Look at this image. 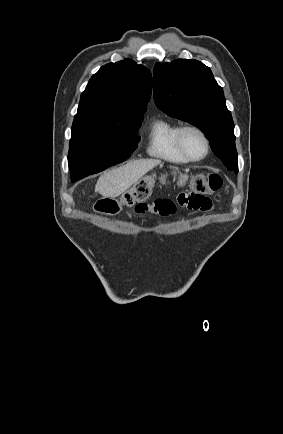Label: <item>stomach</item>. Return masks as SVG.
Returning <instances> with one entry per match:
<instances>
[{"mask_svg": "<svg viewBox=\"0 0 283 434\" xmlns=\"http://www.w3.org/2000/svg\"><path fill=\"white\" fill-rule=\"evenodd\" d=\"M175 172H176V173H175V175H174V176H175L174 178H176V177H177V175L179 174V172H178V171H176V170H175Z\"/></svg>", "mask_w": 283, "mask_h": 434, "instance_id": "obj_1", "label": "stomach"}]
</instances>
